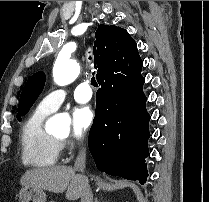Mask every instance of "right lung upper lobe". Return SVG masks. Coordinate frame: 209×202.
I'll use <instances>...</instances> for the list:
<instances>
[{
	"mask_svg": "<svg viewBox=\"0 0 209 202\" xmlns=\"http://www.w3.org/2000/svg\"><path fill=\"white\" fill-rule=\"evenodd\" d=\"M95 37L94 66L101 87H123L141 75L143 62L137 44L125 29L101 24Z\"/></svg>",
	"mask_w": 209,
	"mask_h": 202,
	"instance_id": "cb5924a9",
	"label": "right lung upper lobe"
}]
</instances>
